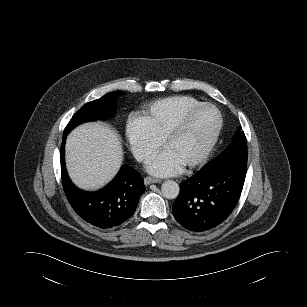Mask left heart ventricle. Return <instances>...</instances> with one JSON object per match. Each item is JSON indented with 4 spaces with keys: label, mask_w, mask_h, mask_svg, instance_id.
<instances>
[{
    "label": "left heart ventricle",
    "mask_w": 307,
    "mask_h": 307,
    "mask_svg": "<svg viewBox=\"0 0 307 307\" xmlns=\"http://www.w3.org/2000/svg\"><path fill=\"white\" fill-rule=\"evenodd\" d=\"M216 125L217 116L213 110L199 109L189 118L184 130L166 144L165 149L184 165L203 150Z\"/></svg>",
    "instance_id": "1"
}]
</instances>
